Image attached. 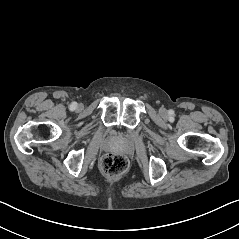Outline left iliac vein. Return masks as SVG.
<instances>
[{"label":"left iliac vein","instance_id":"left-iliac-vein-1","mask_svg":"<svg viewBox=\"0 0 239 239\" xmlns=\"http://www.w3.org/2000/svg\"><path fill=\"white\" fill-rule=\"evenodd\" d=\"M159 113H160V115L163 116V117H165V116L167 115V111H166L165 108H160V109H159Z\"/></svg>","mask_w":239,"mask_h":239}]
</instances>
